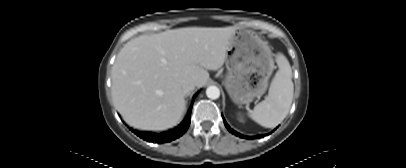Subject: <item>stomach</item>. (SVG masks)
<instances>
[{
	"label": "stomach",
	"mask_w": 406,
	"mask_h": 168,
	"mask_svg": "<svg viewBox=\"0 0 406 168\" xmlns=\"http://www.w3.org/2000/svg\"><path fill=\"white\" fill-rule=\"evenodd\" d=\"M223 84L238 105L262 96L275 68L270 47L255 32L237 28L227 49Z\"/></svg>",
	"instance_id": "0dacf381"
}]
</instances>
